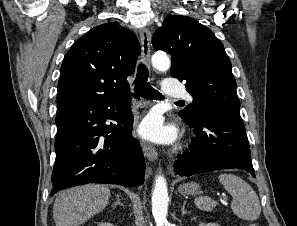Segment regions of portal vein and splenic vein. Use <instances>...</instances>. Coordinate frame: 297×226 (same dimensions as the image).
<instances>
[{
    "instance_id": "18ae733b",
    "label": "portal vein and splenic vein",
    "mask_w": 297,
    "mask_h": 226,
    "mask_svg": "<svg viewBox=\"0 0 297 226\" xmlns=\"http://www.w3.org/2000/svg\"><path fill=\"white\" fill-rule=\"evenodd\" d=\"M224 204H226V198H224V200L222 201Z\"/></svg>"
}]
</instances>
